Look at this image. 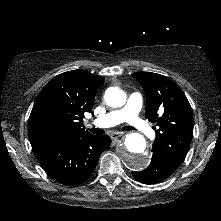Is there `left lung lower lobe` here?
<instances>
[{
  "instance_id": "1",
  "label": "left lung lower lobe",
  "mask_w": 221,
  "mask_h": 221,
  "mask_svg": "<svg viewBox=\"0 0 221 221\" xmlns=\"http://www.w3.org/2000/svg\"><path fill=\"white\" fill-rule=\"evenodd\" d=\"M152 158L147 169L132 172L135 179L143 184H154L168 178L175 170L158 152L152 151Z\"/></svg>"
}]
</instances>
